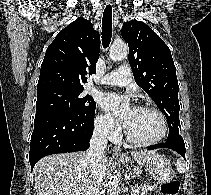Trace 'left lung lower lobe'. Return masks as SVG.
I'll use <instances>...</instances> for the list:
<instances>
[{
    "label": "left lung lower lobe",
    "mask_w": 211,
    "mask_h": 195,
    "mask_svg": "<svg viewBox=\"0 0 211 195\" xmlns=\"http://www.w3.org/2000/svg\"><path fill=\"white\" fill-rule=\"evenodd\" d=\"M157 148H169L172 149L179 154H181L185 158V144L181 135H177L171 139H167L166 142L150 146L148 149H157Z\"/></svg>",
    "instance_id": "1"
}]
</instances>
